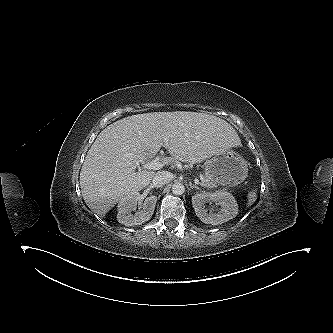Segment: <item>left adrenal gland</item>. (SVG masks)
Returning <instances> with one entry per match:
<instances>
[{
  "label": "left adrenal gland",
  "instance_id": "a2214340",
  "mask_svg": "<svg viewBox=\"0 0 333 333\" xmlns=\"http://www.w3.org/2000/svg\"><path fill=\"white\" fill-rule=\"evenodd\" d=\"M190 188H191V189L195 188V189H197V190H201L197 185H192V184H190Z\"/></svg>",
  "mask_w": 333,
  "mask_h": 333
}]
</instances>
